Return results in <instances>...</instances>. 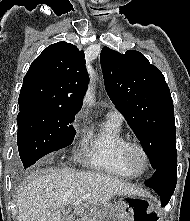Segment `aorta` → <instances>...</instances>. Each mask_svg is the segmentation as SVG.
I'll list each match as a JSON object with an SVG mask.
<instances>
[{"label":"aorta","mask_w":190,"mask_h":221,"mask_svg":"<svg viewBox=\"0 0 190 221\" xmlns=\"http://www.w3.org/2000/svg\"><path fill=\"white\" fill-rule=\"evenodd\" d=\"M93 80V79H92ZM94 81H91L88 87V90L84 96V103L91 105L94 102V88H93Z\"/></svg>","instance_id":"1"}]
</instances>
